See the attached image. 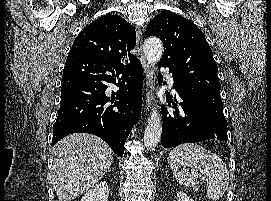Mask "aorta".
Listing matches in <instances>:
<instances>
[{"mask_svg":"<svg viewBox=\"0 0 271 201\" xmlns=\"http://www.w3.org/2000/svg\"><path fill=\"white\" fill-rule=\"evenodd\" d=\"M163 44L160 39L150 37L143 44L144 56L150 66L159 62L163 55ZM162 126L160 114L156 107H153L144 133V144L147 148L155 147L161 137Z\"/></svg>","mask_w":271,"mask_h":201,"instance_id":"762f6f07","label":"aorta"}]
</instances>
